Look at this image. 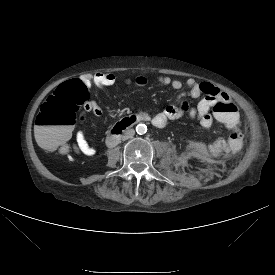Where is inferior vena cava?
<instances>
[{
    "label": "inferior vena cava",
    "instance_id": "1",
    "mask_svg": "<svg viewBox=\"0 0 275 275\" xmlns=\"http://www.w3.org/2000/svg\"><path fill=\"white\" fill-rule=\"evenodd\" d=\"M135 134L134 129H128L124 132L123 136H122V140H127L129 138H132Z\"/></svg>",
    "mask_w": 275,
    "mask_h": 275
}]
</instances>
